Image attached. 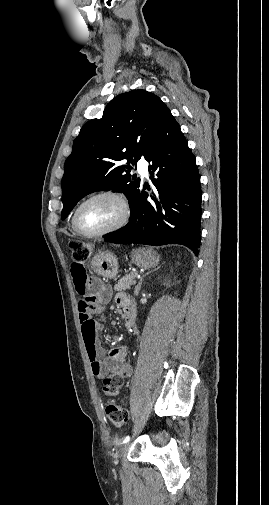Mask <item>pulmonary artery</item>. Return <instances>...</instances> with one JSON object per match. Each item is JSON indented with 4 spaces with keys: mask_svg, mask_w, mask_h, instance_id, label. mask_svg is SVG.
Listing matches in <instances>:
<instances>
[{
    "mask_svg": "<svg viewBox=\"0 0 269 505\" xmlns=\"http://www.w3.org/2000/svg\"><path fill=\"white\" fill-rule=\"evenodd\" d=\"M137 169L138 172L143 176V177H148V164L144 160H139L137 163Z\"/></svg>",
    "mask_w": 269,
    "mask_h": 505,
    "instance_id": "e3ab8cb5",
    "label": "pulmonary artery"
}]
</instances>
